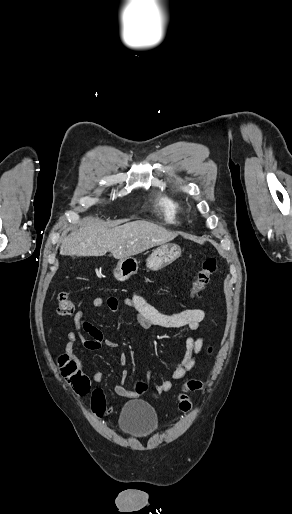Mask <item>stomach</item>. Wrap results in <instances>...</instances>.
Here are the masks:
<instances>
[{
    "label": "stomach",
    "mask_w": 292,
    "mask_h": 514,
    "mask_svg": "<svg viewBox=\"0 0 292 514\" xmlns=\"http://www.w3.org/2000/svg\"><path fill=\"white\" fill-rule=\"evenodd\" d=\"M180 254L179 246H176V244H165V246H160L157 250H153L146 260V266L149 270L157 272V270L165 268L168 264H172L176 258H179ZM137 270L138 264L135 258H122V260L117 262L113 270L114 278L118 282H125V280H129L130 276L137 274Z\"/></svg>",
    "instance_id": "1"
}]
</instances>
